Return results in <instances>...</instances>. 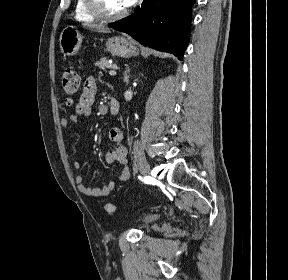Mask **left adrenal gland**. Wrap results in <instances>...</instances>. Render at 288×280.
<instances>
[{
  "label": "left adrenal gland",
  "mask_w": 288,
  "mask_h": 280,
  "mask_svg": "<svg viewBox=\"0 0 288 280\" xmlns=\"http://www.w3.org/2000/svg\"><path fill=\"white\" fill-rule=\"evenodd\" d=\"M129 72H130V69L128 68L125 73H124V82L126 83V85H128L129 83Z\"/></svg>",
  "instance_id": "a2214340"
}]
</instances>
